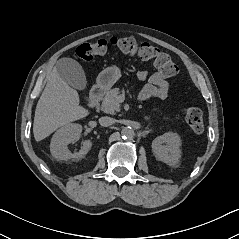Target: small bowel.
Instances as JSON below:
<instances>
[{"mask_svg":"<svg viewBox=\"0 0 239 239\" xmlns=\"http://www.w3.org/2000/svg\"><path fill=\"white\" fill-rule=\"evenodd\" d=\"M140 80H147L148 83L140 92L141 100L150 98L165 99L169 94V83L159 73H149L147 70H140L137 73Z\"/></svg>","mask_w":239,"mask_h":239,"instance_id":"obj_1","label":"small bowel"}]
</instances>
